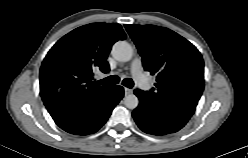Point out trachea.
<instances>
[{
	"mask_svg": "<svg viewBox=\"0 0 248 158\" xmlns=\"http://www.w3.org/2000/svg\"><path fill=\"white\" fill-rule=\"evenodd\" d=\"M119 81H120V78L116 75H113V76H109L107 78H104L102 80H99V81H97V83L99 85H115V84H118ZM123 85L125 87L132 88L134 86V83H133L132 79L125 78L123 80Z\"/></svg>",
	"mask_w": 248,
	"mask_h": 158,
	"instance_id": "1",
	"label": "trachea"
}]
</instances>
